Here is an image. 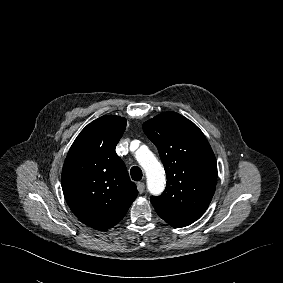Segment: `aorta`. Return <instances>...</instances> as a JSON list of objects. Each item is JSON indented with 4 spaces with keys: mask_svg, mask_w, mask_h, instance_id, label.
I'll list each match as a JSON object with an SVG mask.
<instances>
[{
    "mask_svg": "<svg viewBox=\"0 0 283 283\" xmlns=\"http://www.w3.org/2000/svg\"><path fill=\"white\" fill-rule=\"evenodd\" d=\"M136 159L145 170L147 187L150 193L158 195L163 192L165 188V174L162 165L155 155L146 146H141L136 151Z\"/></svg>",
    "mask_w": 283,
    "mask_h": 283,
    "instance_id": "1",
    "label": "aorta"
}]
</instances>
